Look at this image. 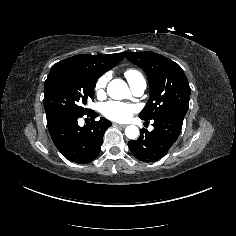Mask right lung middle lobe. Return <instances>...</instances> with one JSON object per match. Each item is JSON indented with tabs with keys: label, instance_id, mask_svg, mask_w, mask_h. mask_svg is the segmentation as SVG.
Returning a JSON list of instances; mask_svg holds the SVG:
<instances>
[{
	"label": "right lung middle lobe",
	"instance_id": "right-lung-middle-lobe-1",
	"mask_svg": "<svg viewBox=\"0 0 236 236\" xmlns=\"http://www.w3.org/2000/svg\"><path fill=\"white\" fill-rule=\"evenodd\" d=\"M103 73L92 63L60 61L54 64L44 85L47 120L61 115L83 116L93 99L96 81Z\"/></svg>",
	"mask_w": 236,
	"mask_h": 236
}]
</instances>
